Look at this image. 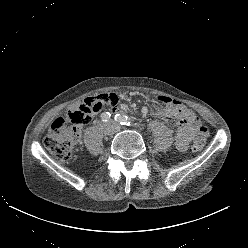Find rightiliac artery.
I'll list each match as a JSON object with an SVG mask.
<instances>
[{
  "instance_id": "1",
  "label": "right iliac artery",
  "mask_w": 248,
  "mask_h": 248,
  "mask_svg": "<svg viewBox=\"0 0 248 248\" xmlns=\"http://www.w3.org/2000/svg\"><path fill=\"white\" fill-rule=\"evenodd\" d=\"M111 114L109 112H104L101 114V119L103 122H107L110 119Z\"/></svg>"
}]
</instances>
